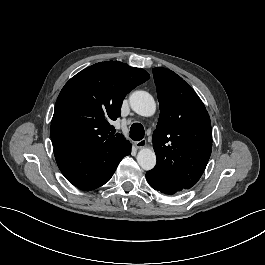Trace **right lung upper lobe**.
Wrapping results in <instances>:
<instances>
[{
  "instance_id": "right-lung-upper-lobe-1",
  "label": "right lung upper lobe",
  "mask_w": 265,
  "mask_h": 265,
  "mask_svg": "<svg viewBox=\"0 0 265 265\" xmlns=\"http://www.w3.org/2000/svg\"><path fill=\"white\" fill-rule=\"evenodd\" d=\"M149 74L119 61L94 64L62 88L51 122L54 148H98L125 140L109 132L120 116L126 94L149 79Z\"/></svg>"
}]
</instances>
